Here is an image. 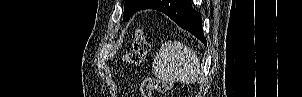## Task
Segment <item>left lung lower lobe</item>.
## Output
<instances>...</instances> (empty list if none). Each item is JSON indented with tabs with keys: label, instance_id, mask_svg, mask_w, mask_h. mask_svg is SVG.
<instances>
[{
	"label": "left lung lower lobe",
	"instance_id": "0a47b994",
	"mask_svg": "<svg viewBox=\"0 0 302 97\" xmlns=\"http://www.w3.org/2000/svg\"><path fill=\"white\" fill-rule=\"evenodd\" d=\"M148 3V6L140 10L155 9L165 13L206 45L201 27V16L192 8L191 0H149Z\"/></svg>",
	"mask_w": 302,
	"mask_h": 97
}]
</instances>
